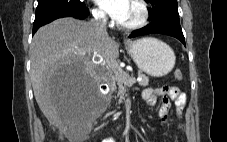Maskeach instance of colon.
I'll use <instances>...</instances> for the list:
<instances>
[{"label": "colon", "instance_id": "1", "mask_svg": "<svg viewBox=\"0 0 227 142\" xmlns=\"http://www.w3.org/2000/svg\"><path fill=\"white\" fill-rule=\"evenodd\" d=\"M175 78H176L177 80H181V79H182V73H181L180 71H176V72H175Z\"/></svg>", "mask_w": 227, "mask_h": 142}]
</instances>
